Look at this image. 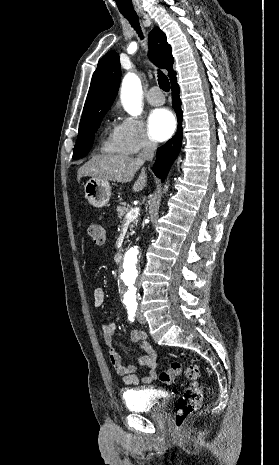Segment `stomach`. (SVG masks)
Listing matches in <instances>:
<instances>
[{
    "label": "stomach",
    "mask_w": 279,
    "mask_h": 465,
    "mask_svg": "<svg viewBox=\"0 0 279 465\" xmlns=\"http://www.w3.org/2000/svg\"><path fill=\"white\" fill-rule=\"evenodd\" d=\"M85 198L96 208H102L109 202L111 187L108 181L90 178L84 185Z\"/></svg>",
    "instance_id": "1"
}]
</instances>
